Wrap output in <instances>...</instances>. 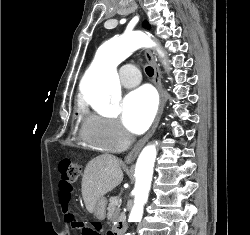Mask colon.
<instances>
[{
	"label": "colon",
	"mask_w": 250,
	"mask_h": 235,
	"mask_svg": "<svg viewBox=\"0 0 250 235\" xmlns=\"http://www.w3.org/2000/svg\"><path fill=\"white\" fill-rule=\"evenodd\" d=\"M59 192L69 193L72 190V184L77 180L81 173V166L78 162L71 159H64L59 163ZM66 222L70 223L75 229L89 235L90 231L82 227L79 222L70 213L65 214Z\"/></svg>",
	"instance_id": "obj_1"
}]
</instances>
